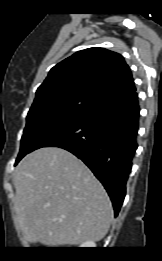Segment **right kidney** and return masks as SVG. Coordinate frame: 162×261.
<instances>
[{
  "mask_svg": "<svg viewBox=\"0 0 162 261\" xmlns=\"http://www.w3.org/2000/svg\"><path fill=\"white\" fill-rule=\"evenodd\" d=\"M80 247L94 248V247H96V245H95V243L93 241H86L83 244H81Z\"/></svg>",
  "mask_w": 162,
  "mask_h": 261,
  "instance_id": "obj_1",
  "label": "right kidney"
}]
</instances>
